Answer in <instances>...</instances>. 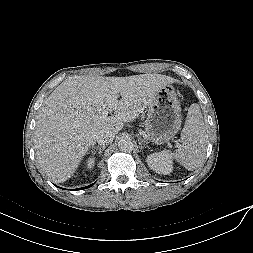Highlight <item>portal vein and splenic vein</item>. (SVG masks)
Wrapping results in <instances>:
<instances>
[{
  "mask_svg": "<svg viewBox=\"0 0 253 253\" xmlns=\"http://www.w3.org/2000/svg\"><path fill=\"white\" fill-rule=\"evenodd\" d=\"M108 113H109V112H107V111L102 112L101 115H97L96 118L107 117V116H108Z\"/></svg>",
  "mask_w": 253,
  "mask_h": 253,
  "instance_id": "18ae733b",
  "label": "portal vein and splenic vein"
}]
</instances>
